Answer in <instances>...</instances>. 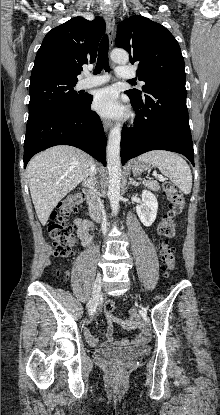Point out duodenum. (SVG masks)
<instances>
[{
  "label": "duodenum",
  "instance_id": "410a0bca",
  "mask_svg": "<svg viewBox=\"0 0 220 415\" xmlns=\"http://www.w3.org/2000/svg\"><path fill=\"white\" fill-rule=\"evenodd\" d=\"M84 194L87 199V206H88V212H89L90 217L93 220H99L101 213H100L99 206L96 200L94 199L92 190L90 188H85Z\"/></svg>",
  "mask_w": 220,
  "mask_h": 415
}]
</instances>
